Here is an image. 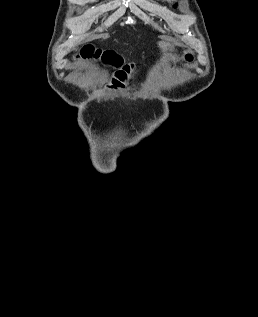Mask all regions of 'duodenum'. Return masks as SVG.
<instances>
[{
    "label": "duodenum",
    "mask_w": 258,
    "mask_h": 317,
    "mask_svg": "<svg viewBox=\"0 0 258 317\" xmlns=\"http://www.w3.org/2000/svg\"><path fill=\"white\" fill-rule=\"evenodd\" d=\"M133 71V68L128 65L118 69L112 78L111 88L113 90H122L126 88L131 80Z\"/></svg>",
    "instance_id": "obj_1"
}]
</instances>
